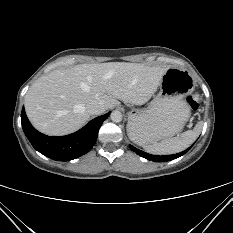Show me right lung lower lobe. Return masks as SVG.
<instances>
[{
	"instance_id": "98d812e1",
	"label": "right lung lower lobe",
	"mask_w": 233,
	"mask_h": 233,
	"mask_svg": "<svg viewBox=\"0 0 233 233\" xmlns=\"http://www.w3.org/2000/svg\"><path fill=\"white\" fill-rule=\"evenodd\" d=\"M110 112L91 120L79 131L60 137L38 132L30 124L24 108L21 112L22 128L32 146L43 155L57 161H70L87 153L95 144L99 128Z\"/></svg>"
}]
</instances>
